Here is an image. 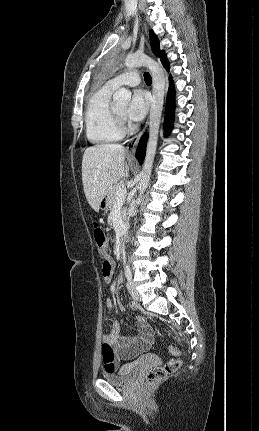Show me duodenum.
Wrapping results in <instances>:
<instances>
[{"label": "duodenum", "mask_w": 259, "mask_h": 431, "mask_svg": "<svg viewBox=\"0 0 259 431\" xmlns=\"http://www.w3.org/2000/svg\"><path fill=\"white\" fill-rule=\"evenodd\" d=\"M123 236H124V231L121 229L119 231V239H118V242H117V249L119 251H122L124 249Z\"/></svg>", "instance_id": "1"}]
</instances>
